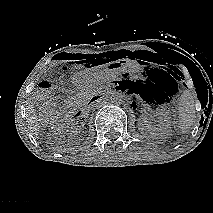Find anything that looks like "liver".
Wrapping results in <instances>:
<instances>
[{"mask_svg": "<svg viewBox=\"0 0 213 213\" xmlns=\"http://www.w3.org/2000/svg\"><path fill=\"white\" fill-rule=\"evenodd\" d=\"M26 120L31 133L35 136H38L40 133V126L38 123L39 119L31 104L26 106Z\"/></svg>", "mask_w": 213, "mask_h": 213, "instance_id": "obj_1", "label": "liver"}]
</instances>
